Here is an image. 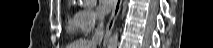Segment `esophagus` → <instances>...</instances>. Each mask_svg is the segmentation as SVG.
I'll list each match as a JSON object with an SVG mask.
<instances>
[{"label":"esophagus","mask_w":213,"mask_h":48,"mask_svg":"<svg viewBox=\"0 0 213 48\" xmlns=\"http://www.w3.org/2000/svg\"><path fill=\"white\" fill-rule=\"evenodd\" d=\"M122 0H116L115 5L112 11V14L110 16V19L106 25V31H105V38L104 41L106 42L112 32V29L114 27L115 21L117 19V16L121 10Z\"/></svg>","instance_id":"esophagus-1"}]
</instances>
